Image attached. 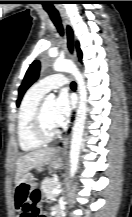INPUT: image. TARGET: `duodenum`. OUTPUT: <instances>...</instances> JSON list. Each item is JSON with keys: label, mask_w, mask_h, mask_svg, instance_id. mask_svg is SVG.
Returning a JSON list of instances; mask_svg holds the SVG:
<instances>
[{"label": "duodenum", "mask_w": 132, "mask_h": 217, "mask_svg": "<svg viewBox=\"0 0 132 217\" xmlns=\"http://www.w3.org/2000/svg\"><path fill=\"white\" fill-rule=\"evenodd\" d=\"M53 217H60L59 214L56 212L53 214Z\"/></svg>", "instance_id": "1"}]
</instances>
